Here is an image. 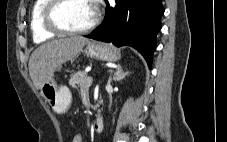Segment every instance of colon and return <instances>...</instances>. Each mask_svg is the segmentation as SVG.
Listing matches in <instances>:
<instances>
[{
  "instance_id": "5ec220e1",
  "label": "colon",
  "mask_w": 227,
  "mask_h": 142,
  "mask_svg": "<svg viewBox=\"0 0 227 142\" xmlns=\"http://www.w3.org/2000/svg\"><path fill=\"white\" fill-rule=\"evenodd\" d=\"M70 142H84L83 136L80 132H74L71 136Z\"/></svg>"
}]
</instances>
